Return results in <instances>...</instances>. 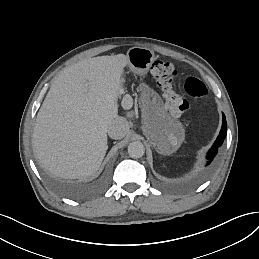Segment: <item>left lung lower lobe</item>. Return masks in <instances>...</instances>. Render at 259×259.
Segmentation results:
<instances>
[{
	"mask_svg": "<svg viewBox=\"0 0 259 259\" xmlns=\"http://www.w3.org/2000/svg\"><path fill=\"white\" fill-rule=\"evenodd\" d=\"M222 128L220 131L219 136L217 137V140L215 141V143L213 144V146L211 147V149L208 151L207 155H206V165H209L215 158V156L218 153V149L219 147L222 145L225 137H226V133H227V122H226V118L225 115L223 114V119H222Z\"/></svg>",
	"mask_w": 259,
	"mask_h": 259,
	"instance_id": "1",
	"label": "left lung lower lobe"
}]
</instances>
